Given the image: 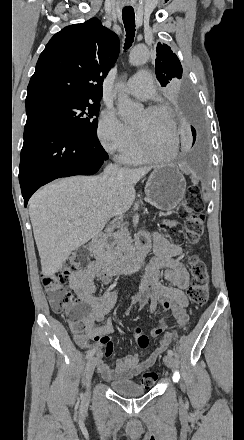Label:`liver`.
<instances>
[{"mask_svg": "<svg viewBox=\"0 0 244 440\" xmlns=\"http://www.w3.org/2000/svg\"><path fill=\"white\" fill-rule=\"evenodd\" d=\"M152 168L119 170L115 176H72L47 184L32 196L29 216L43 276H54L72 250L84 246L114 216L130 210L135 184ZM75 218L81 226L72 224Z\"/></svg>", "mask_w": 244, "mask_h": 440, "instance_id": "liver-1", "label": "liver"}]
</instances>
